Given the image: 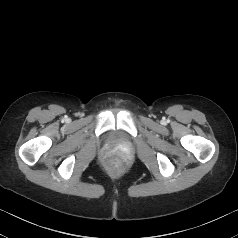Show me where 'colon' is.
<instances>
[{"mask_svg":"<svg viewBox=\"0 0 238 238\" xmlns=\"http://www.w3.org/2000/svg\"><path fill=\"white\" fill-rule=\"evenodd\" d=\"M111 168L114 172H120L122 170L121 164L117 161L111 162Z\"/></svg>","mask_w":238,"mask_h":238,"instance_id":"colon-1","label":"colon"}]
</instances>
